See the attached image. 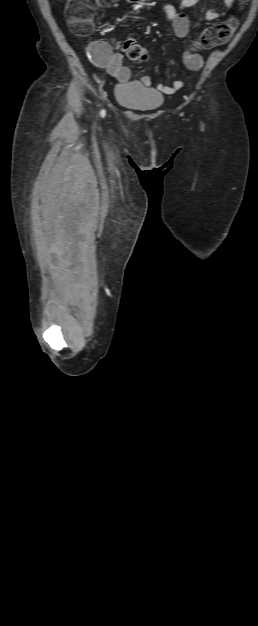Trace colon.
Listing matches in <instances>:
<instances>
[{"mask_svg": "<svg viewBox=\"0 0 258 626\" xmlns=\"http://www.w3.org/2000/svg\"><path fill=\"white\" fill-rule=\"evenodd\" d=\"M113 0H66V17L72 32L78 36L88 35L93 28V9L96 6H106ZM245 3L248 0H240ZM237 27V20L231 18L226 22L216 24L202 31L199 38L191 45L195 50L199 47L212 48L225 44L233 35ZM123 49L129 59L133 61H146L147 49L136 43L133 39L124 42Z\"/></svg>", "mask_w": 258, "mask_h": 626, "instance_id": "1", "label": "colon"}]
</instances>
